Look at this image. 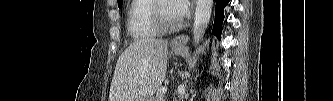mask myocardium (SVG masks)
<instances>
[{"label": "myocardium", "mask_w": 333, "mask_h": 101, "mask_svg": "<svg viewBox=\"0 0 333 101\" xmlns=\"http://www.w3.org/2000/svg\"><path fill=\"white\" fill-rule=\"evenodd\" d=\"M167 1H155V4L152 9V20L157 28V30L161 33H169L174 32L180 29L183 25V19L179 18L177 21L173 23H167L162 14L163 3Z\"/></svg>", "instance_id": "1"}]
</instances>
